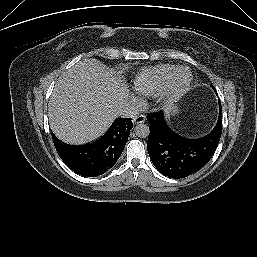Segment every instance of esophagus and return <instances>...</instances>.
<instances>
[{
  "label": "esophagus",
  "mask_w": 257,
  "mask_h": 257,
  "mask_svg": "<svg viewBox=\"0 0 257 257\" xmlns=\"http://www.w3.org/2000/svg\"><path fill=\"white\" fill-rule=\"evenodd\" d=\"M145 121V116L144 115H137L136 117L133 118V122L135 124H140V123H144Z\"/></svg>",
  "instance_id": "esophagus-1"
}]
</instances>
